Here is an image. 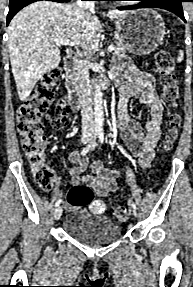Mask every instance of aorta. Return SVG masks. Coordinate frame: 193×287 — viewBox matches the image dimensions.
<instances>
[{
    "mask_svg": "<svg viewBox=\"0 0 193 287\" xmlns=\"http://www.w3.org/2000/svg\"><path fill=\"white\" fill-rule=\"evenodd\" d=\"M94 118H95V126L97 129L102 130L103 126V99L101 86L97 83L94 85Z\"/></svg>",
    "mask_w": 193,
    "mask_h": 287,
    "instance_id": "762f6f07",
    "label": "aorta"
}]
</instances>
